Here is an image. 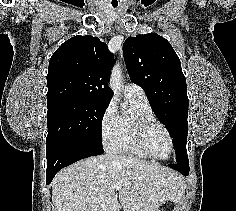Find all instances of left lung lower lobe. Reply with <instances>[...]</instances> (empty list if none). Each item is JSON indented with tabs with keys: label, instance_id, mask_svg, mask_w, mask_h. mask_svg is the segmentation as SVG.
Returning <instances> with one entry per match:
<instances>
[{
	"label": "left lung lower lobe",
	"instance_id": "obj_1",
	"mask_svg": "<svg viewBox=\"0 0 236 211\" xmlns=\"http://www.w3.org/2000/svg\"><path fill=\"white\" fill-rule=\"evenodd\" d=\"M171 168L179 171L181 174L188 176L189 175V162H183L177 164H171L169 165Z\"/></svg>",
	"mask_w": 236,
	"mask_h": 211
}]
</instances>
